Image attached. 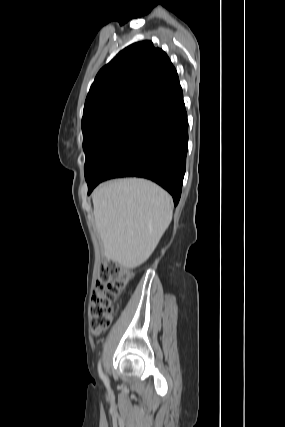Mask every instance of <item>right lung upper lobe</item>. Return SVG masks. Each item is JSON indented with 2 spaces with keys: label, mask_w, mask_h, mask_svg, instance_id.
I'll return each mask as SVG.
<instances>
[{
  "label": "right lung upper lobe",
  "mask_w": 285,
  "mask_h": 427,
  "mask_svg": "<svg viewBox=\"0 0 285 427\" xmlns=\"http://www.w3.org/2000/svg\"><path fill=\"white\" fill-rule=\"evenodd\" d=\"M178 82L163 50L151 41L134 43L98 72L85 101L82 126L123 108H145Z\"/></svg>",
  "instance_id": "right-lung-upper-lobe-1"
}]
</instances>
